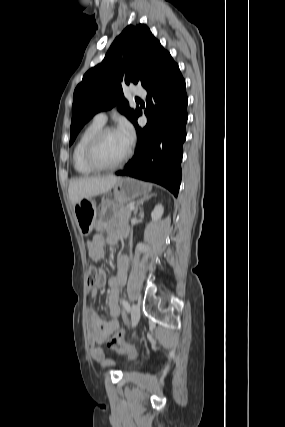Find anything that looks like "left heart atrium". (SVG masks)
<instances>
[{
	"instance_id": "obj_1",
	"label": "left heart atrium",
	"mask_w": 285,
	"mask_h": 427,
	"mask_svg": "<svg viewBox=\"0 0 285 427\" xmlns=\"http://www.w3.org/2000/svg\"><path fill=\"white\" fill-rule=\"evenodd\" d=\"M117 131L124 139L126 144L130 147L133 144L135 138V133L132 125L128 121L123 120L120 122Z\"/></svg>"
}]
</instances>
